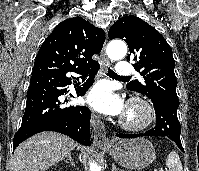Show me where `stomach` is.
Wrapping results in <instances>:
<instances>
[{"label": "stomach", "mask_w": 199, "mask_h": 171, "mask_svg": "<svg viewBox=\"0 0 199 171\" xmlns=\"http://www.w3.org/2000/svg\"><path fill=\"white\" fill-rule=\"evenodd\" d=\"M105 149L119 165L132 170L144 169L155 159V149L145 138L122 139Z\"/></svg>", "instance_id": "stomach-1"}]
</instances>
